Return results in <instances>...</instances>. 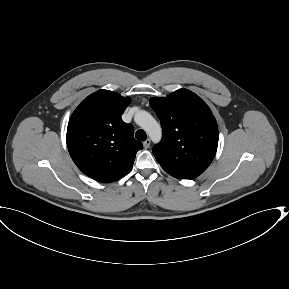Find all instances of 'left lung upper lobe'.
Returning <instances> with one entry per match:
<instances>
[{"label": "left lung upper lobe", "mask_w": 289, "mask_h": 289, "mask_svg": "<svg viewBox=\"0 0 289 289\" xmlns=\"http://www.w3.org/2000/svg\"><path fill=\"white\" fill-rule=\"evenodd\" d=\"M150 105L163 129L161 142L153 148L156 160L175 178H196L210 165L218 146V126L210 108L187 89L152 98Z\"/></svg>", "instance_id": "1"}]
</instances>
